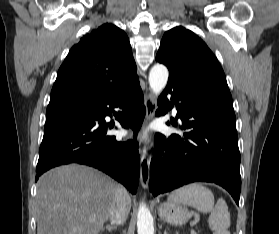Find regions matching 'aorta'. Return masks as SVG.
<instances>
[{"label": "aorta", "mask_w": 279, "mask_h": 234, "mask_svg": "<svg viewBox=\"0 0 279 234\" xmlns=\"http://www.w3.org/2000/svg\"><path fill=\"white\" fill-rule=\"evenodd\" d=\"M169 77L168 69L163 64H155L149 73V85L155 95L165 88ZM138 234H154L153 217L144 203H141L137 214Z\"/></svg>", "instance_id": "1"}]
</instances>
